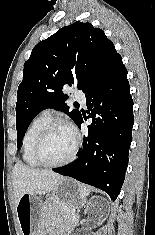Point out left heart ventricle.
I'll return each instance as SVG.
<instances>
[{"label":"left heart ventricle","instance_id":"b2bd125f","mask_svg":"<svg viewBox=\"0 0 155 235\" xmlns=\"http://www.w3.org/2000/svg\"><path fill=\"white\" fill-rule=\"evenodd\" d=\"M73 145V134L65 127H56L50 132L43 145V158L48 162L62 161L69 156Z\"/></svg>","mask_w":155,"mask_h":235}]
</instances>
